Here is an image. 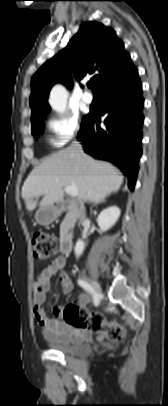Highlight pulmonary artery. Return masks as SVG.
I'll return each instance as SVG.
<instances>
[{
  "label": "pulmonary artery",
  "instance_id": "1",
  "mask_svg": "<svg viewBox=\"0 0 168 406\" xmlns=\"http://www.w3.org/2000/svg\"><path fill=\"white\" fill-rule=\"evenodd\" d=\"M82 99L86 104H91L93 102V96L91 93L85 91L82 95Z\"/></svg>",
  "mask_w": 168,
  "mask_h": 406
}]
</instances>
